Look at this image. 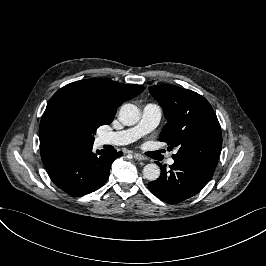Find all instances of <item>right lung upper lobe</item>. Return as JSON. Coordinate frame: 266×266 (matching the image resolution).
Segmentation results:
<instances>
[{
  "label": "right lung upper lobe",
  "mask_w": 266,
  "mask_h": 266,
  "mask_svg": "<svg viewBox=\"0 0 266 266\" xmlns=\"http://www.w3.org/2000/svg\"><path fill=\"white\" fill-rule=\"evenodd\" d=\"M141 85H126L111 80L92 78L70 83L59 89L49 100L39 127L40 151L46 168L65 151L89 146L85 133L69 115L70 108L80 101L94 107L105 124H110L116 108L140 94Z\"/></svg>",
  "instance_id": "1"
}]
</instances>
